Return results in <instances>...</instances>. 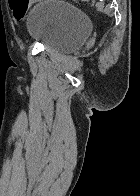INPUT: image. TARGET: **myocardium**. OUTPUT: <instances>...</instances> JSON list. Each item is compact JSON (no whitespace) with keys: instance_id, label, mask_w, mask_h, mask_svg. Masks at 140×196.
<instances>
[{"instance_id":"obj_1","label":"myocardium","mask_w":140,"mask_h":196,"mask_svg":"<svg viewBox=\"0 0 140 196\" xmlns=\"http://www.w3.org/2000/svg\"><path fill=\"white\" fill-rule=\"evenodd\" d=\"M35 192H67V191H35Z\"/></svg>"}]
</instances>
